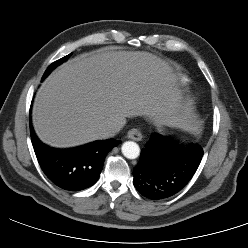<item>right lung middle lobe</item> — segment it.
Here are the masks:
<instances>
[{
	"mask_svg": "<svg viewBox=\"0 0 248 248\" xmlns=\"http://www.w3.org/2000/svg\"><path fill=\"white\" fill-rule=\"evenodd\" d=\"M71 54L59 59L58 61L52 63L45 71L42 78H45L56 66L60 65L62 62L66 61Z\"/></svg>",
	"mask_w": 248,
	"mask_h": 248,
	"instance_id": "dd1d6c3e",
	"label": "right lung middle lobe"
}]
</instances>
